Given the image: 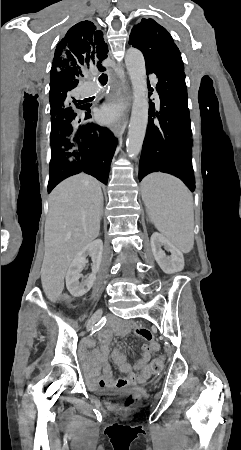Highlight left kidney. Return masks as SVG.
Listing matches in <instances>:
<instances>
[{
    "label": "left kidney",
    "instance_id": "5707ae66",
    "mask_svg": "<svg viewBox=\"0 0 241 450\" xmlns=\"http://www.w3.org/2000/svg\"><path fill=\"white\" fill-rule=\"evenodd\" d=\"M151 250L153 252V256L160 266L161 270L165 272V274H175V272H182L185 264L183 254L163 236V234H158V232H154L151 236ZM161 246H164L167 252H171V256H166L164 250H162Z\"/></svg>",
    "mask_w": 241,
    "mask_h": 450
}]
</instances>
